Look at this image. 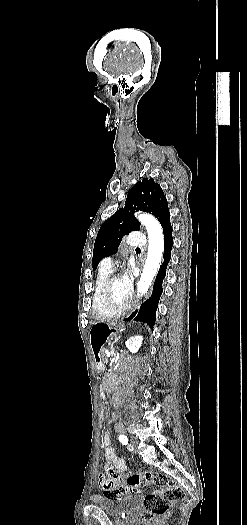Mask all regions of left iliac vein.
<instances>
[{
  "label": "left iliac vein",
  "mask_w": 247,
  "mask_h": 525,
  "mask_svg": "<svg viewBox=\"0 0 247 525\" xmlns=\"http://www.w3.org/2000/svg\"><path fill=\"white\" fill-rule=\"evenodd\" d=\"M127 447H128L129 451H133L134 450V445L131 444V443H129Z\"/></svg>",
  "instance_id": "1"
}]
</instances>
